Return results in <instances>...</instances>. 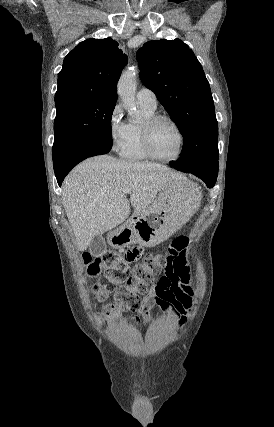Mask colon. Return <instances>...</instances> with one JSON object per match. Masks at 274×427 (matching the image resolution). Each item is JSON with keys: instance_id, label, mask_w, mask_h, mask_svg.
I'll return each instance as SVG.
<instances>
[{"instance_id": "5ec220e1", "label": "colon", "mask_w": 274, "mask_h": 427, "mask_svg": "<svg viewBox=\"0 0 274 427\" xmlns=\"http://www.w3.org/2000/svg\"><path fill=\"white\" fill-rule=\"evenodd\" d=\"M170 251L172 250L166 249L163 253L146 254V247L137 245L127 252L110 251L101 257L93 258V264L98 266L103 264L105 273L95 287L103 295L100 299H104L107 294H115L116 296L115 302L105 305L104 312L99 313L98 317L103 318L104 315H112L120 308L135 310L138 306V296L146 292L148 283L153 280L155 275L162 271L165 272L166 259ZM142 256H144L143 262L132 270L127 279H124L127 262H135ZM83 263H87V257H83ZM122 282L125 284L122 285Z\"/></svg>"}]
</instances>
